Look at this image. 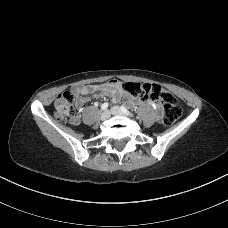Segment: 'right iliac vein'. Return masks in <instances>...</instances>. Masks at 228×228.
Returning <instances> with one entry per match:
<instances>
[{
    "mask_svg": "<svg viewBox=\"0 0 228 228\" xmlns=\"http://www.w3.org/2000/svg\"><path fill=\"white\" fill-rule=\"evenodd\" d=\"M110 116H111L110 111L106 110V111H104V112L101 114L100 118H101V120L104 121V120L109 119Z\"/></svg>",
    "mask_w": 228,
    "mask_h": 228,
    "instance_id": "right-iliac-vein-1",
    "label": "right iliac vein"
}]
</instances>
